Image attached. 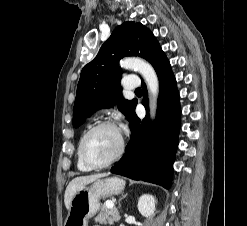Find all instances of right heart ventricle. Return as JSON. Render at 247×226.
Returning <instances> with one entry per match:
<instances>
[{"instance_id":"1","label":"right heart ventricle","mask_w":247,"mask_h":226,"mask_svg":"<svg viewBox=\"0 0 247 226\" xmlns=\"http://www.w3.org/2000/svg\"><path fill=\"white\" fill-rule=\"evenodd\" d=\"M77 167L79 170L81 171H89L90 168L87 167L80 159V156H79V150L77 151Z\"/></svg>"}]
</instances>
